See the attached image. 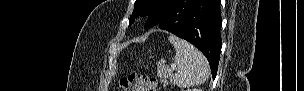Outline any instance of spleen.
<instances>
[{
	"label": "spleen",
	"instance_id": "3e777b00",
	"mask_svg": "<svg viewBox=\"0 0 304 91\" xmlns=\"http://www.w3.org/2000/svg\"><path fill=\"white\" fill-rule=\"evenodd\" d=\"M169 42L174 46L176 73L171 82L181 88L192 87L204 83L210 74L209 64L205 56L189 42L170 35Z\"/></svg>",
	"mask_w": 304,
	"mask_h": 91
}]
</instances>
